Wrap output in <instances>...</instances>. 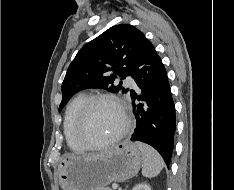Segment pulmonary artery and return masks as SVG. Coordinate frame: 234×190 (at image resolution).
<instances>
[{
	"mask_svg": "<svg viewBox=\"0 0 234 190\" xmlns=\"http://www.w3.org/2000/svg\"><path fill=\"white\" fill-rule=\"evenodd\" d=\"M126 84H127L129 87H131V88H135V87H136V86H135V83L133 82L132 79H127V80H126Z\"/></svg>",
	"mask_w": 234,
	"mask_h": 190,
	"instance_id": "obj_1",
	"label": "pulmonary artery"
}]
</instances>
